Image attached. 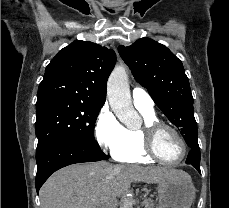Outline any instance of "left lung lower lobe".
<instances>
[{
	"label": "left lung lower lobe",
	"mask_w": 229,
	"mask_h": 208,
	"mask_svg": "<svg viewBox=\"0 0 229 208\" xmlns=\"http://www.w3.org/2000/svg\"><path fill=\"white\" fill-rule=\"evenodd\" d=\"M198 134H190L183 136L187 145L191 148L188 157L186 159V164H191L195 169L200 172V149L197 142Z\"/></svg>",
	"instance_id": "0a47b994"
}]
</instances>
